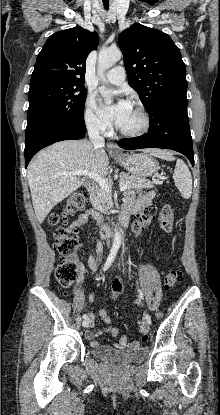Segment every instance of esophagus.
<instances>
[{
    "label": "esophagus",
    "mask_w": 220,
    "mask_h": 415,
    "mask_svg": "<svg viewBox=\"0 0 220 415\" xmlns=\"http://www.w3.org/2000/svg\"><path fill=\"white\" fill-rule=\"evenodd\" d=\"M107 146H108V149H109L110 153H113V154H119L120 153V151L118 150L116 144H114L112 142H109Z\"/></svg>",
    "instance_id": "obj_1"
}]
</instances>
